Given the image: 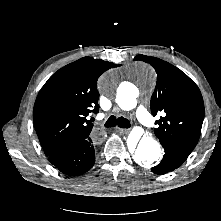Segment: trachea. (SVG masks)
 <instances>
[{"label": "trachea", "instance_id": "1", "mask_svg": "<svg viewBox=\"0 0 221 221\" xmlns=\"http://www.w3.org/2000/svg\"><path fill=\"white\" fill-rule=\"evenodd\" d=\"M118 125L120 128H129L131 126L130 121L124 117H116L114 115L110 116L106 123L105 127L111 128Z\"/></svg>", "mask_w": 221, "mask_h": 221}]
</instances>
